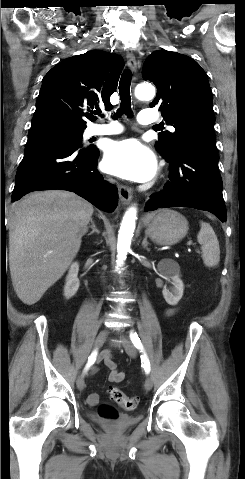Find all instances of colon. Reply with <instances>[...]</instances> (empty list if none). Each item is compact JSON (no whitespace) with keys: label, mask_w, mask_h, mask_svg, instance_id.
<instances>
[{"label":"colon","mask_w":245,"mask_h":479,"mask_svg":"<svg viewBox=\"0 0 245 479\" xmlns=\"http://www.w3.org/2000/svg\"><path fill=\"white\" fill-rule=\"evenodd\" d=\"M108 393L111 400L125 410H132L137 404L136 399L127 396L121 389L117 387L111 386L108 390ZM99 414L108 419H115L117 416L116 411L107 405L101 406Z\"/></svg>","instance_id":"5ec220e1"}]
</instances>
